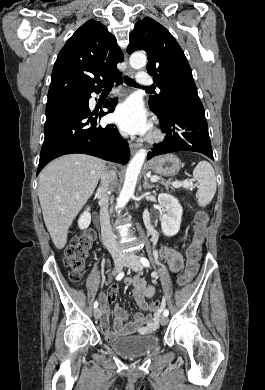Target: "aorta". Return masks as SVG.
Masks as SVG:
<instances>
[{"instance_id": "aorta-1", "label": "aorta", "mask_w": 265, "mask_h": 390, "mask_svg": "<svg viewBox=\"0 0 265 390\" xmlns=\"http://www.w3.org/2000/svg\"><path fill=\"white\" fill-rule=\"evenodd\" d=\"M129 62L132 68L138 70L146 66L147 57L142 52H135L130 56ZM146 155L147 151L145 149L138 150L126 169L124 184L117 199L116 209L119 211L127 204L134 194L137 178L145 161Z\"/></svg>"}]
</instances>
